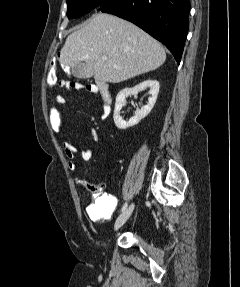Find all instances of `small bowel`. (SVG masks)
Instances as JSON below:
<instances>
[{
	"mask_svg": "<svg viewBox=\"0 0 240 287\" xmlns=\"http://www.w3.org/2000/svg\"><path fill=\"white\" fill-rule=\"evenodd\" d=\"M87 91L91 94L97 93V87L94 85H88ZM110 106L109 103L103 102L102 106V117L106 118L110 114ZM90 135L93 139L98 142L99 137L98 133L91 129L89 130ZM62 147L65 153V156L68 159V167L70 170L74 171L76 169V158L79 157L83 161H88L93 156V151L91 148H85L82 151H78L77 148L70 143L69 141L64 140L62 142ZM94 185H90L89 188ZM103 184L97 185V189H92L97 192L101 191L103 188ZM117 206V198L114 195L107 194V193H97L95 195L94 201L87 205L86 212L88 217L95 222H101L106 217H108L116 208Z\"/></svg>",
	"mask_w": 240,
	"mask_h": 287,
	"instance_id": "c3829d8e",
	"label": "small bowel"
}]
</instances>
